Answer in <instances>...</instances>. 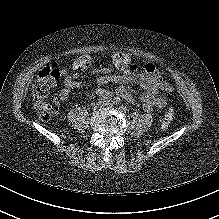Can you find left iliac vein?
Instances as JSON below:
<instances>
[{
	"instance_id": "1",
	"label": "left iliac vein",
	"mask_w": 219,
	"mask_h": 219,
	"mask_svg": "<svg viewBox=\"0 0 219 219\" xmlns=\"http://www.w3.org/2000/svg\"><path fill=\"white\" fill-rule=\"evenodd\" d=\"M105 107H112V104L111 103H106L104 104Z\"/></svg>"
}]
</instances>
